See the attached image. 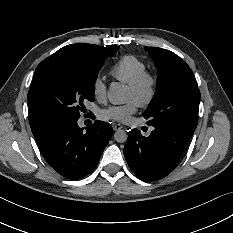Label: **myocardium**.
I'll return each mask as SVG.
<instances>
[{"mask_svg":"<svg viewBox=\"0 0 233 233\" xmlns=\"http://www.w3.org/2000/svg\"><path fill=\"white\" fill-rule=\"evenodd\" d=\"M157 83V76L145 70L133 82L129 83L127 88L135 93L141 94L142 98L140 104L146 106L156 95Z\"/></svg>","mask_w":233,"mask_h":233,"instance_id":"1","label":"myocardium"}]
</instances>
